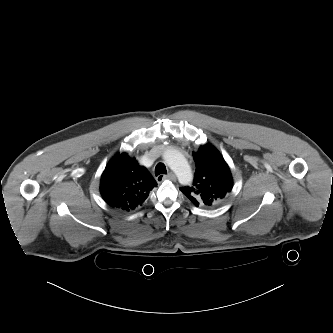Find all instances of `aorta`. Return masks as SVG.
Wrapping results in <instances>:
<instances>
[{"mask_svg": "<svg viewBox=\"0 0 333 333\" xmlns=\"http://www.w3.org/2000/svg\"><path fill=\"white\" fill-rule=\"evenodd\" d=\"M163 159L169 168L177 175L182 184H189L192 179V173L185 157L176 149L168 148L163 154Z\"/></svg>", "mask_w": 333, "mask_h": 333, "instance_id": "762f6f07", "label": "aorta"}]
</instances>
